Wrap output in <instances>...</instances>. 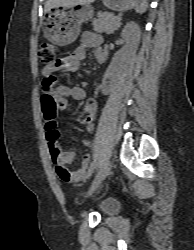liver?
Segmentation results:
<instances>
[{
  "mask_svg": "<svg viewBox=\"0 0 194 250\" xmlns=\"http://www.w3.org/2000/svg\"><path fill=\"white\" fill-rule=\"evenodd\" d=\"M95 0H47L45 3V12L47 13L53 7H75L77 5H85Z\"/></svg>",
  "mask_w": 194,
  "mask_h": 250,
  "instance_id": "liver-1",
  "label": "liver"
}]
</instances>
